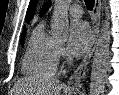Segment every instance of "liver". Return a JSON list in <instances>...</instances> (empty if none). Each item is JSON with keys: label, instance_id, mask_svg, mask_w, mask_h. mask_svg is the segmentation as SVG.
<instances>
[{"label": "liver", "instance_id": "liver-1", "mask_svg": "<svg viewBox=\"0 0 119 95\" xmlns=\"http://www.w3.org/2000/svg\"><path fill=\"white\" fill-rule=\"evenodd\" d=\"M17 86L25 90V93L35 95H60L63 87L62 83L54 78H40L31 88H28L29 83L26 81L18 83Z\"/></svg>", "mask_w": 119, "mask_h": 95}]
</instances>
